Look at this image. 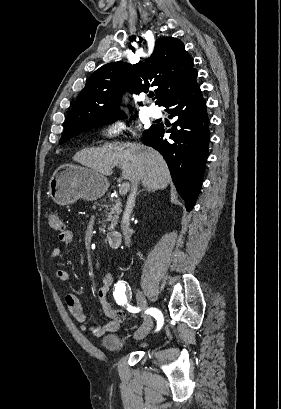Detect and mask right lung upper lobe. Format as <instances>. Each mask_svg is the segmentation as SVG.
<instances>
[{"mask_svg":"<svg viewBox=\"0 0 281 409\" xmlns=\"http://www.w3.org/2000/svg\"><path fill=\"white\" fill-rule=\"evenodd\" d=\"M192 67L193 59L182 41L160 37L148 59L134 65L113 62L97 69L78 95L65 128L83 127L123 113L119 103L126 89L139 94L155 87L156 104L162 106L188 81L195 71Z\"/></svg>","mask_w":281,"mask_h":409,"instance_id":"obj_1","label":"right lung upper lobe"}]
</instances>
